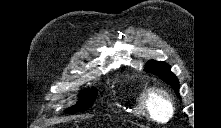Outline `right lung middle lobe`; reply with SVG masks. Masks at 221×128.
<instances>
[{"label": "right lung middle lobe", "instance_id": "dd1d6c3e", "mask_svg": "<svg viewBox=\"0 0 221 128\" xmlns=\"http://www.w3.org/2000/svg\"><path fill=\"white\" fill-rule=\"evenodd\" d=\"M96 96H97V90L96 89L84 90L80 94L79 102L75 106L67 109L65 111V113L66 114H72V113L88 110L89 108L92 107L94 99L96 98Z\"/></svg>", "mask_w": 221, "mask_h": 128}]
</instances>
